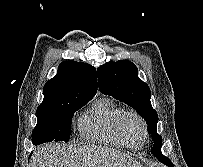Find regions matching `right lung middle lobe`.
I'll return each instance as SVG.
<instances>
[{
  "label": "right lung middle lobe",
  "instance_id": "1",
  "mask_svg": "<svg viewBox=\"0 0 203 167\" xmlns=\"http://www.w3.org/2000/svg\"><path fill=\"white\" fill-rule=\"evenodd\" d=\"M88 99H74L55 107L37 108V125L32 132L35 145L51 141H69L71 118L75 111L87 104Z\"/></svg>",
  "mask_w": 203,
  "mask_h": 167
}]
</instances>
